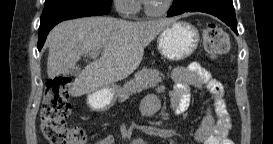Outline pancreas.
<instances>
[{
	"mask_svg": "<svg viewBox=\"0 0 273 144\" xmlns=\"http://www.w3.org/2000/svg\"><path fill=\"white\" fill-rule=\"evenodd\" d=\"M162 76L156 69L143 68L135 73L134 78L130 79V81L118 90L119 101H125L132 94L155 87L162 81Z\"/></svg>",
	"mask_w": 273,
	"mask_h": 144,
	"instance_id": "obj_1",
	"label": "pancreas"
}]
</instances>
